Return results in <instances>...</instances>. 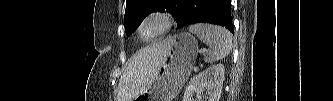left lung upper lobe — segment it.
<instances>
[{"mask_svg": "<svg viewBox=\"0 0 333 101\" xmlns=\"http://www.w3.org/2000/svg\"><path fill=\"white\" fill-rule=\"evenodd\" d=\"M165 8L172 13L178 23L183 12L179 0H127L124 15V26L127 36L140 25L148 14Z\"/></svg>", "mask_w": 333, "mask_h": 101, "instance_id": "1", "label": "left lung upper lobe"}]
</instances>
